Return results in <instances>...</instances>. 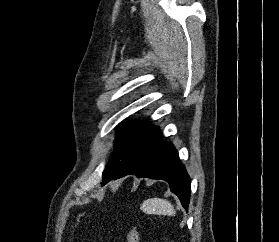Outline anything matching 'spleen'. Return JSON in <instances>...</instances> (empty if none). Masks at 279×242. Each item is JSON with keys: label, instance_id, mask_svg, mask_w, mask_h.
<instances>
[{"label": "spleen", "instance_id": "obj_1", "mask_svg": "<svg viewBox=\"0 0 279 242\" xmlns=\"http://www.w3.org/2000/svg\"><path fill=\"white\" fill-rule=\"evenodd\" d=\"M141 209L147 214L168 216H174L176 214L174 206L168 200L161 198L145 200L141 205Z\"/></svg>", "mask_w": 279, "mask_h": 242}]
</instances>
